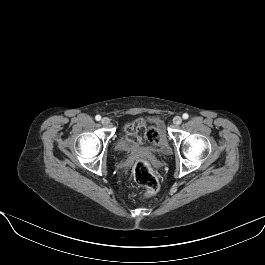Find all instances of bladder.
<instances>
[{
	"mask_svg": "<svg viewBox=\"0 0 265 265\" xmlns=\"http://www.w3.org/2000/svg\"><path fill=\"white\" fill-rule=\"evenodd\" d=\"M151 121L154 122L157 126H161L162 125V122L159 118L157 117H152L151 118ZM166 146V144H164ZM141 146H139L137 143L133 142V141H129L127 138H126V133L124 132L117 144H116V149L118 151H121V152H126V151H130V150H133L135 148H140Z\"/></svg>",
	"mask_w": 265,
	"mask_h": 265,
	"instance_id": "bladder-1",
	"label": "bladder"
}]
</instances>
